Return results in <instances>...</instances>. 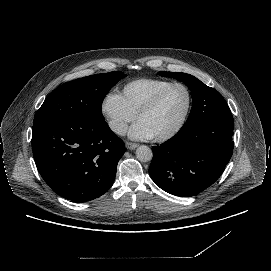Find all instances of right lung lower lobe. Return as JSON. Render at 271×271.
Here are the masks:
<instances>
[{
	"mask_svg": "<svg viewBox=\"0 0 271 271\" xmlns=\"http://www.w3.org/2000/svg\"><path fill=\"white\" fill-rule=\"evenodd\" d=\"M32 149L37 169L63 198L86 202L112 186L125 145L101 119L51 117L34 123Z\"/></svg>",
	"mask_w": 271,
	"mask_h": 271,
	"instance_id": "98d812e1",
	"label": "right lung lower lobe"
}]
</instances>
